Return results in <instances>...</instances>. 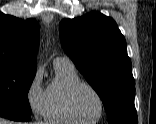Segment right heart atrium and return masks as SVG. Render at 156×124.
<instances>
[{
  "label": "right heart atrium",
  "mask_w": 156,
  "mask_h": 124,
  "mask_svg": "<svg viewBox=\"0 0 156 124\" xmlns=\"http://www.w3.org/2000/svg\"><path fill=\"white\" fill-rule=\"evenodd\" d=\"M42 72L37 70L26 88V102L36 117L45 113V89L42 85Z\"/></svg>",
  "instance_id": "1"
}]
</instances>
